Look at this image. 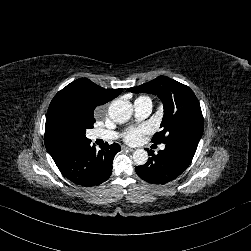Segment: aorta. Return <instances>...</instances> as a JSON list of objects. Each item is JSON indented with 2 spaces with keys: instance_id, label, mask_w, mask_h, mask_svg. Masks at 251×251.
Listing matches in <instances>:
<instances>
[{
  "instance_id": "aorta-1",
  "label": "aorta",
  "mask_w": 251,
  "mask_h": 251,
  "mask_svg": "<svg viewBox=\"0 0 251 251\" xmlns=\"http://www.w3.org/2000/svg\"><path fill=\"white\" fill-rule=\"evenodd\" d=\"M133 113V106L131 102L116 99L113 100L108 109L110 119L115 123L127 122ZM133 160L137 165H144L148 160V153L144 149H137L133 152Z\"/></svg>"
}]
</instances>
